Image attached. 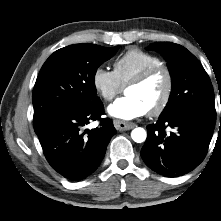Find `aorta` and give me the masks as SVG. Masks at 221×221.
<instances>
[{"mask_svg":"<svg viewBox=\"0 0 221 221\" xmlns=\"http://www.w3.org/2000/svg\"><path fill=\"white\" fill-rule=\"evenodd\" d=\"M131 137L134 142L142 143L146 140L147 133L144 128L138 127L132 130Z\"/></svg>","mask_w":221,"mask_h":221,"instance_id":"aorta-1","label":"aorta"}]
</instances>
